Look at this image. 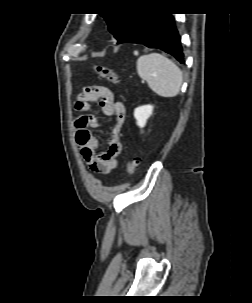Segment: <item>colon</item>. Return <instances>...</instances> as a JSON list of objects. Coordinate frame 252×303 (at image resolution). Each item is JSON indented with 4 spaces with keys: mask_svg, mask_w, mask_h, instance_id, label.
<instances>
[{
    "mask_svg": "<svg viewBox=\"0 0 252 303\" xmlns=\"http://www.w3.org/2000/svg\"><path fill=\"white\" fill-rule=\"evenodd\" d=\"M95 71L102 78L110 81L111 83H114V84H120L121 83V79H120L119 75L111 68L101 66V65H97V66H95ZM137 169H138V162L136 161V159H130V160L127 161V163H126V174L128 176L134 175L137 172Z\"/></svg>",
    "mask_w": 252,
    "mask_h": 303,
    "instance_id": "5ec220e1",
    "label": "colon"
}]
</instances>
